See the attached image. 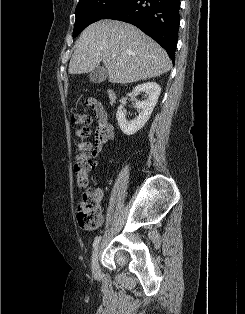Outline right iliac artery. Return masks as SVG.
<instances>
[{
  "mask_svg": "<svg viewBox=\"0 0 245 314\" xmlns=\"http://www.w3.org/2000/svg\"><path fill=\"white\" fill-rule=\"evenodd\" d=\"M100 239H101V236H97V237H95L94 242H93V248H94V247H96V246L98 245V243H99Z\"/></svg>",
  "mask_w": 245,
  "mask_h": 314,
  "instance_id": "obj_1",
  "label": "right iliac artery"
}]
</instances>
